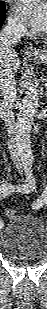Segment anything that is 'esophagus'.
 Here are the masks:
<instances>
[{
  "label": "esophagus",
  "instance_id": "34e87169",
  "mask_svg": "<svg viewBox=\"0 0 47 309\" xmlns=\"http://www.w3.org/2000/svg\"><path fill=\"white\" fill-rule=\"evenodd\" d=\"M25 53H26V55L33 56V55L38 54V51L31 43H28L26 45V52Z\"/></svg>",
  "mask_w": 47,
  "mask_h": 309
}]
</instances>
